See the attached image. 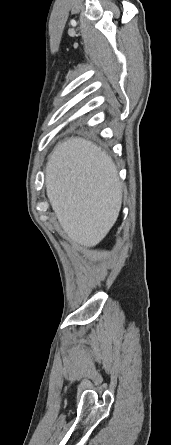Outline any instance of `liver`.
Listing matches in <instances>:
<instances>
[{"label":"liver","mask_w":171,"mask_h":445,"mask_svg":"<svg viewBox=\"0 0 171 445\" xmlns=\"http://www.w3.org/2000/svg\"><path fill=\"white\" fill-rule=\"evenodd\" d=\"M45 184L72 242L92 247L105 238L122 204V183L106 152L78 137L59 142L48 159Z\"/></svg>","instance_id":"1"}]
</instances>
